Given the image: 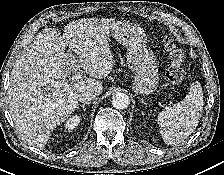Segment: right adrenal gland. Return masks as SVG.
Returning <instances> with one entry per match:
<instances>
[{"mask_svg": "<svg viewBox=\"0 0 224 175\" xmlns=\"http://www.w3.org/2000/svg\"><path fill=\"white\" fill-rule=\"evenodd\" d=\"M90 104V102H86L84 104H80L79 106H77V110H79L81 107L83 108V111H86V106Z\"/></svg>", "mask_w": 224, "mask_h": 175, "instance_id": "2a0ac1e0", "label": "right adrenal gland"}]
</instances>
